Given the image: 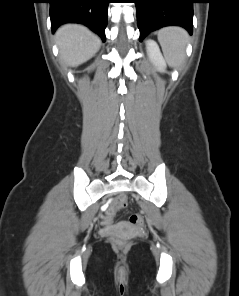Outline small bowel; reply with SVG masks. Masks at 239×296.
<instances>
[{"mask_svg": "<svg viewBox=\"0 0 239 296\" xmlns=\"http://www.w3.org/2000/svg\"><path fill=\"white\" fill-rule=\"evenodd\" d=\"M112 217H113V212L112 211L108 210V211L105 212V222L106 223H109L111 221Z\"/></svg>", "mask_w": 239, "mask_h": 296, "instance_id": "1", "label": "small bowel"}]
</instances>
